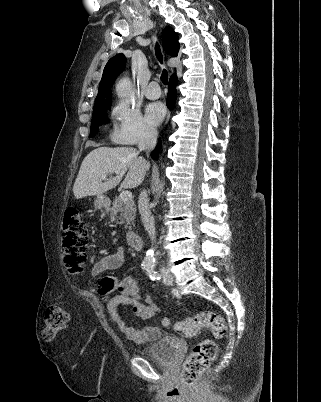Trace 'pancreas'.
Returning <instances> with one entry per match:
<instances>
[{
	"instance_id": "pancreas-1",
	"label": "pancreas",
	"mask_w": 321,
	"mask_h": 402,
	"mask_svg": "<svg viewBox=\"0 0 321 402\" xmlns=\"http://www.w3.org/2000/svg\"><path fill=\"white\" fill-rule=\"evenodd\" d=\"M109 213L111 219L117 220L118 224H125L126 228L131 229L136 214L135 204L132 200L124 202L117 197L109 209Z\"/></svg>"
}]
</instances>
